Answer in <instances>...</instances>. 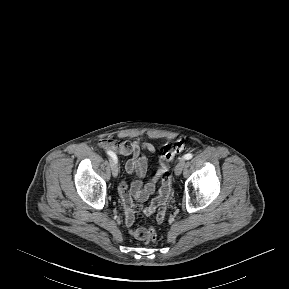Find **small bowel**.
<instances>
[{
  "label": "small bowel",
  "mask_w": 289,
  "mask_h": 289,
  "mask_svg": "<svg viewBox=\"0 0 289 289\" xmlns=\"http://www.w3.org/2000/svg\"><path fill=\"white\" fill-rule=\"evenodd\" d=\"M101 147L109 149L113 153H118L124 156H131L125 163V170L129 174L137 177L130 185L125 181H121L118 186L121 201L125 212V223L129 233L137 240L144 241L147 239L148 230L144 227H134L135 214L142 211L146 215H152L157 211V222L161 223L164 220L167 211L168 196L171 194L170 173L168 161L163 155L159 156V167L150 179L143 183L140 179L144 178L148 170V159L143 154L144 151L156 154V148L149 142L123 141L118 142L110 139H105L101 142ZM161 180V187L158 195L151 203L143 207L136 203L144 202L154 193L156 184Z\"/></svg>",
  "instance_id": "1"
}]
</instances>
